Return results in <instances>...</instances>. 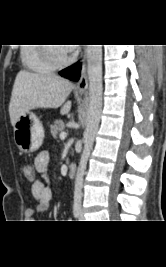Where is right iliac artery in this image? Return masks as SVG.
Segmentation results:
<instances>
[{
    "label": "right iliac artery",
    "instance_id": "82829eb1",
    "mask_svg": "<svg viewBox=\"0 0 166 267\" xmlns=\"http://www.w3.org/2000/svg\"><path fill=\"white\" fill-rule=\"evenodd\" d=\"M80 208H81V205L79 203H75L73 205V214H74V217L75 218H78L79 217Z\"/></svg>",
    "mask_w": 166,
    "mask_h": 267
}]
</instances>
